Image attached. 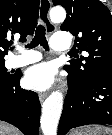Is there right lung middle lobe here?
<instances>
[{
	"label": "right lung middle lobe",
	"instance_id": "obj_1",
	"mask_svg": "<svg viewBox=\"0 0 112 135\" xmlns=\"http://www.w3.org/2000/svg\"><path fill=\"white\" fill-rule=\"evenodd\" d=\"M12 77L13 74H10L4 67V61H0V87L4 86Z\"/></svg>",
	"mask_w": 112,
	"mask_h": 135
}]
</instances>
